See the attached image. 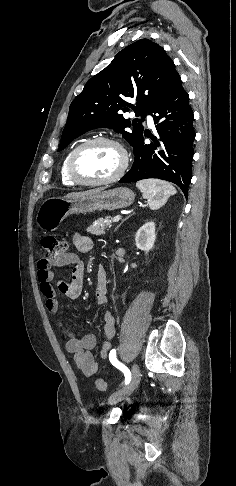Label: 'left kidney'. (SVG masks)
Here are the masks:
<instances>
[{
    "instance_id": "left-kidney-1",
    "label": "left kidney",
    "mask_w": 236,
    "mask_h": 486,
    "mask_svg": "<svg viewBox=\"0 0 236 486\" xmlns=\"http://www.w3.org/2000/svg\"><path fill=\"white\" fill-rule=\"evenodd\" d=\"M156 239L155 223L147 222L139 228L135 235V243L138 249L146 254L153 248Z\"/></svg>"
}]
</instances>
